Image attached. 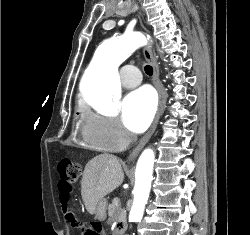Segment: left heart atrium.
<instances>
[{"label":"left heart atrium","mask_w":250,"mask_h":235,"mask_svg":"<svg viewBox=\"0 0 250 235\" xmlns=\"http://www.w3.org/2000/svg\"><path fill=\"white\" fill-rule=\"evenodd\" d=\"M156 111V97L149 87H141L129 93L122 102V120L134 133L143 132Z\"/></svg>","instance_id":"left-heart-atrium-1"}]
</instances>
